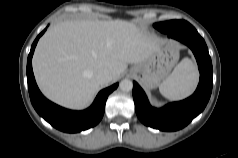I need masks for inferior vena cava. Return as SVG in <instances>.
I'll use <instances>...</instances> for the list:
<instances>
[{
  "label": "inferior vena cava",
  "instance_id": "602c4592",
  "mask_svg": "<svg viewBox=\"0 0 238 158\" xmlns=\"http://www.w3.org/2000/svg\"><path fill=\"white\" fill-rule=\"evenodd\" d=\"M96 79L100 85L106 86L111 82L112 77L109 70L101 69L96 73Z\"/></svg>",
  "mask_w": 238,
  "mask_h": 158
}]
</instances>
